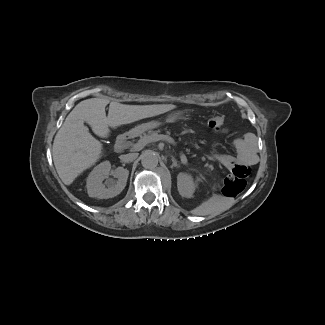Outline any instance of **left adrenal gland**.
<instances>
[{
    "label": "left adrenal gland",
    "instance_id": "obj_1",
    "mask_svg": "<svg viewBox=\"0 0 325 325\" xmlns=\"http://www.w3.org/2000/svg\"><path fill=\"white\" fill-rule=\"evenodd\" d=\"M172 162H173V163H172V165H171V168H173V167H177V168H178V167H179V164L177 163V160H176L175 157H173V156H172Z\"/></svg>",
    "mask_w": 325,
    "mask_h": 325
}]
</instances>
